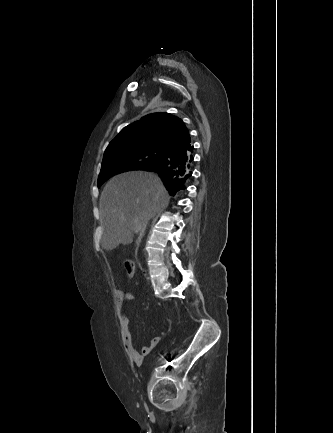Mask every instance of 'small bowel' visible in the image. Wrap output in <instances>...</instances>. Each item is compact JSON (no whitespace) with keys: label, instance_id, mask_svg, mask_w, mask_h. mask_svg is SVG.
<instances>
[{"label":"small bowel","instance_id":"1","mask_svg":"<svg viewBox=\"0 0 333 433\" xmlns=\"http://www.w3.org/2000/svg\"><path fill=\"white\" fill-rule=\"evenodd\" d=\"M134 298L135 296L131 292H118V299L122 304L131 302ZM119 323L121 326V336L124 348L134 364L139 366L142 364L145 356H147L159 344L160 337L156 336L152 338L149 345H145L140 350H137L133 342L132 334L129 330L130 320L123 310H121L119 314Z\"/></svg>","mask_w":333,"mask_h":433}]
</instances>
